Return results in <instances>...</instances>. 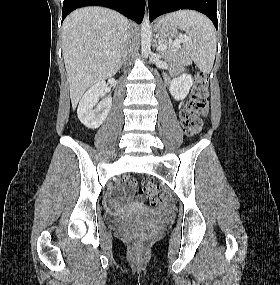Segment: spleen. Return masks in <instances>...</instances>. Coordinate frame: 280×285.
<instances>
[{"label": "spleen", "mask_w": 280, "mask_h": 285, "mask_svg": "<svg viewBox=\"0 0 280 285\" xmlns=\"http://www.w3.org/2000/svg\"><path fill=\"white\" fill-rule=\"evenodd\" d=\"M188 35L184 47L203 73H210L214 64L217 41L212 22L195 11H177L166 16Z\"/></svg>", "instance_id": "obj_1"}]
</instances>
